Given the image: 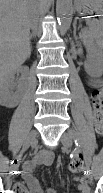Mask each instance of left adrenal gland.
Instances as JSON below:
<instances>
[{
    "mask_svg": "<svg viewBox=\"0 0 103 193\" xmlns=\"http://www.w3.org/2000/svg\"><path fill=\"white\" fill-rule=\"evenodd\" d=\"M74 35L76 36V25L74 24Z\"/></svg>",
    "mask_w": 103,
    "mask_h": 193,
    "instance_id": "a2214340",
    "label": "left adrenal gland"
}]
</instances>
